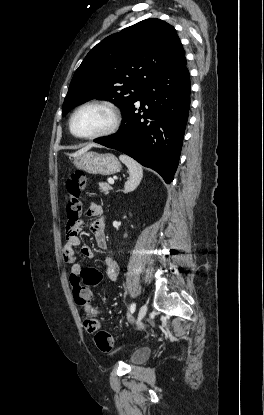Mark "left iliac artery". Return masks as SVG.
Segmentation results:
<instances>
[{
    "label": "left iliac artery",
    "mask_w": 264,
    "mask_h": 415,
    "mask_svg": "<svg viewBox=\"0 0 264 415\" xmlns=\"http://www.w3.org/2000/svg\"><path fill=\"white\" fill-rule=\"evenodd\" d=\"M135 309H136V304L135 303H132L130 305V312L133 313L135 311Z\"/></svg>",
    "instance_id": "obj_1"
}]
</instances>
